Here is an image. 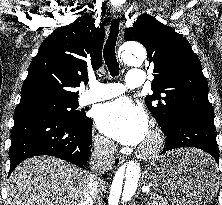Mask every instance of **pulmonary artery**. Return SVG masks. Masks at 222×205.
I'll list each match as a JSON object with an SVG mask.
<instances>
[{
	"mask_svg": "<svg viewBox=\"0 0 222 205\" xmlns=\"http://www.w3.org/2000/svg\"><path fill=\"white\" fill-rule=\"evenodd\" d=\"M144 82V72L140 69H130L126 78V87L119 83L91 82V89L82 98L84 105L104 101L123 94L127 88L140 87Z\"/></svg>",
	"mask_w": 222,
	"mask_h": 205,
	"instance_id": "pulmonary-artery-1",
	"label": "pulmonary artery"
}]
</instances>
